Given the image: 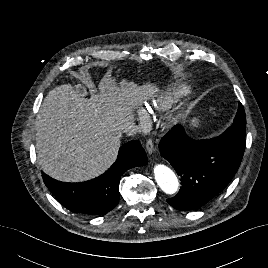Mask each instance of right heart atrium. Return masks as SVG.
<instances>
[{"mask_svg":"<svg viewBox=\"0 0 268 268\" xmlns=\"http://www.w3.org/2000/svg\"><path fill=\"white\" fill-rule=\"evenodd\" d=\"M137 117L140 122L145 121L147 117V111L145 109H139Z\"/></svg>","mask_w":268,"mask_h":268,"instance_id":"d8ad5b80","label":"right heart atrium"}]
</instances>
